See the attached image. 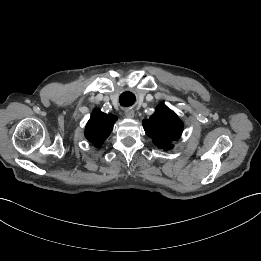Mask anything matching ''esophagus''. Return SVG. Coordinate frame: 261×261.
Segmentation results:
<instances>
[{
	"mask_svg": "<svg viewBox=\"0 0 261 261\" xmlns=\"http://www.w3.org/2000/svg\"><path fill=\"white\" fill-rule=\"evenodd\" d=\"M124 114H125V117H127V118H133L135 115V112H134V110L128 108L124 111Z\"/></svg>",
	"mask_w": 261,
	"mask_h": 261,
	"instance_id": "1",
	"label": "esophagus"
}]
</instances>
